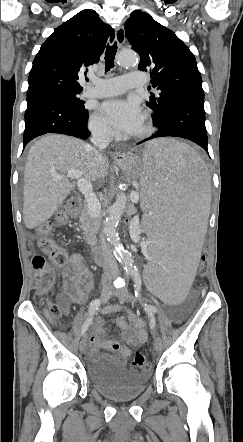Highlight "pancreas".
<instances>
[{
	"label": "pancreas",
	"instance_id": "pancreas-1",
	"mask_svg": "<svg viewBox=\"0 0 243 442\" xmlns=\"http://www.w3.org/2000/svg\"><path fill=\"white\" fill-rule=\"evenodd\" d=\"M81 229L83 230L84 238L90 245H95L96 234L99 230L100 220L98 217L90 215L87 206L84 207L80 216Z\"/></svg>",
	"mask_w": 243,
	"mask_h": 442
}]
</instances>
